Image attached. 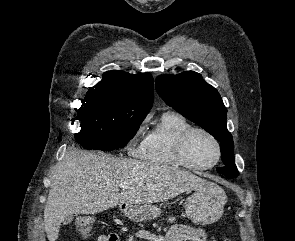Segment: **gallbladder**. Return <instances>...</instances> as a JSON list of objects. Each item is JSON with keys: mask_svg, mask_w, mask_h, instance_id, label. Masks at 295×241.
<instances>
[{"mask_svg": "<svg viewBox=\"0 0 295 241\" xmlns=\"http://www.w3.org/2000/svg\"><path fill=\"white\" fill-rule=\"evenodd\" d=\"M73 221V217L70 216V217H67L64 221V224H70L71 222Z\"/></svg>", "mask_w": 295, "mask_h": 241, "instance_id": "gallbladder-1", "label": "gallbladder"}]
</instances>
